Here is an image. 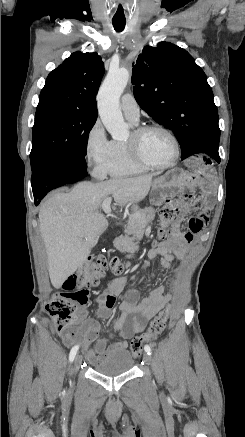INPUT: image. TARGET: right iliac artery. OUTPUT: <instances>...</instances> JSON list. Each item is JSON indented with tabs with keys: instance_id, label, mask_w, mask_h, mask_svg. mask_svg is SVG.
<instances>
[{
	"instance_id": "1",
	"label": "right iliac artery",
	"mask_w": 245,
	"mask_h": 437,
	"mask_svg": "<svg viewBox=\"0 0 245 437\" xmlns=\"http://www.w3.org/2000/svg\"><path fill=\"white\" fill-rule=\"evenodd\" d=\"M78 349H79V345H76V346H74V347L71 349L70 354H69V360H70V362H72V361L74 360L75 355H76Z\"/></svg>"
}]
</instances>
